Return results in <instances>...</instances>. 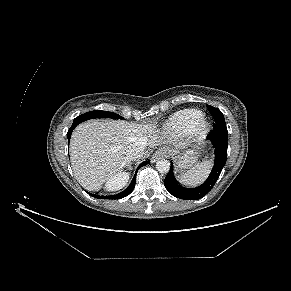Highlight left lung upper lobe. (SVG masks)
<instances>
[{
    "instance_id": "1",
    "label": "left lung upper lobe",
    "mask_w": 291,
    "mask_h": 291,
    "mask_svg": "<svg viewBox=\"0 0 291 291\" xmlns=\"http://www.w3.org/2000/svg\"><path fill=\"white\" fill-rule=\"evenodd\" d=\"M207 107H208L209 111L211 112L212 116L215 119L214 126L215 125H224V126H226L224 115L222 114V112L219 109H217V108H215V107H213L211 105H208ZM180 199L188 200V199H191V197L189 196V194L183 193V194L180 195Z\"/></svg>"
}]
</instances>
